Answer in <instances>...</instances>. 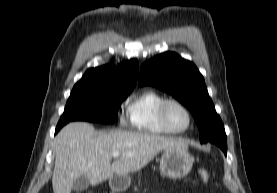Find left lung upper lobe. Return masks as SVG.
I'll use <instances>...</instances> for the list:
<instances>
[{
  "instance_id": "obj_1",
  "label": "left lung upper lobe",
  "mask_w": 277,
  "mask_h": 193,
  "mask_svg": "<svg viewBox=\"0 0 277 193\" xmlns=\"http://www.w3.org/2000/svg\"><path fill=\"white\" fill-rule=\"evenodd\" d=\"M139 85H153L164 90L189 108L198 125L201 143L226 136L203 76L193 63L178 54L163 53L143 64Z\"/></svg>"
}]
</instances>
